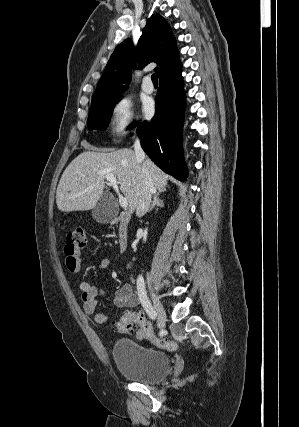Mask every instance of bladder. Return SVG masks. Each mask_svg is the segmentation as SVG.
Masks as SVG:
<instances>
[{
  "label": "bladder",
  "mask_w": 299,
  "mask_h": 427,
  "mask_svg": "<svg viewBox=\"0 0 299 427\" xmlns=\"http://www.w3.org/2000/svg\"><path fill=\"white\" fill-rule=\"evenodd\" d=\"M112 355L122 376L142 384H156L164 380L171 369L166 353L147 348L131 339L116 340Z\"/></svg>",
  "instance_id": "31cf9c89"
}]
</instances>
